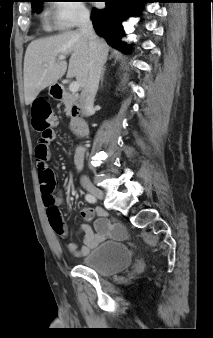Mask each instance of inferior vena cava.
<instances>
[{"instance_id":"inferior-vena-cava-1","label":"inferior vena cava","mask_w":213,"mask_h":338,"mask_svg":"<svg viewBox=\"0 0 213 338\" xmlns=\"http://www.w3.org/2000/svg\"><path fill=\"white\" fill-rule=\"evenodd\" d=\"M79 32L88 40L90 50L88 80L83 87L80 96L82 113L87 116L89 109L92 108L94 103L107 54L103 50L100 39L93 31L90 14L86 11L81 14L79 20Z\"/></svg>"}]
</instances>
